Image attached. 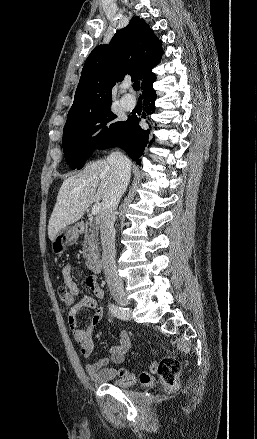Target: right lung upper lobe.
Wrapping results in <instances>:
<instances>
[{
	"mask_svg": "<svg viewBox=\"0 0 257 439\" xmlns=\"http://www.w3.org/2000/svg\"><path fill=\"white\" fill-rule=\"evenodd\" d=\"M161 41L139 17L111 39L99 45L88 56L67 122L111 106L112 87L126 75L142 80L144 90L155 78L152 68L161 58Z\"/></svg>",
	"mask_w": 257,
	"mask_h": 439,
	"instance_id": "obj_1",
	"label": "right lung upper lobe"
}]
</instances>
